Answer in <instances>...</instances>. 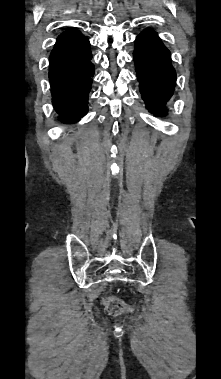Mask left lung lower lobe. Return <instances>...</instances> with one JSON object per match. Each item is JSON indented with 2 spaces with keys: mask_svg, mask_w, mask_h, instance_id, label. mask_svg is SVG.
Listing matches in <instances>:
<instances>
[{
  "mask_svg": "<svg viewBox=\"0 0 221 379\" xmlns=\"http://www.w3.org/2000/svg\"><path fill=\"white\" fill-rule=\"evenodd\" d=\"M140 93L148 110L163 116L164 105L173 94L176 72L169 50L151 29L143 31L135 41L133 53Z\"/></svg>",
  "mask_w": 221,
  "mask_h": 379,
  "instance_id": "1",
  "label": "left lung lower lobe"
}]
</instances>
